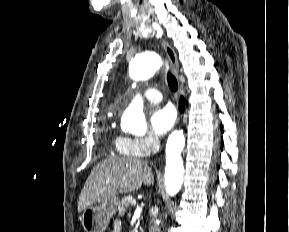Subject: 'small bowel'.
<instances>
[{
	"mask_svg": "<svg viewBox=\"0 0 289 232\" xmlns=\"http://www.w3.org/2000/svg\"><path fill=\"white\" fill-rule=\"evenodd\" d=\"M122 225L120 221H115L112 232H121Z\"/></svg>",
	"mask_w": 289,
	"mask_h": 232,
	"instance_id": "obj_1",
	"label": "small bowel"
}]
</instances>
